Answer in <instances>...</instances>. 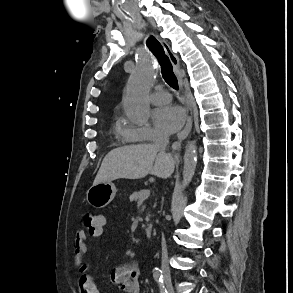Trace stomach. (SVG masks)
I'll return each instance as SVG.
<instances>
[{
	"mask_svg": "<svg viewBox=\"0 0 293 293\" xmlns=\"http://www.w3.org/2000/svg\"><path fill=\"white\" fill-rule=\"evenodd\" d=\"M116 187L113 183H99L87 191V201L95 208H104L115 197Z\"/></svg>",
	"mask_w": 293,
	"mask_h": 293,
	"instance_id": "stomach-1",
	"label": "stomach"
}]
</instances>
